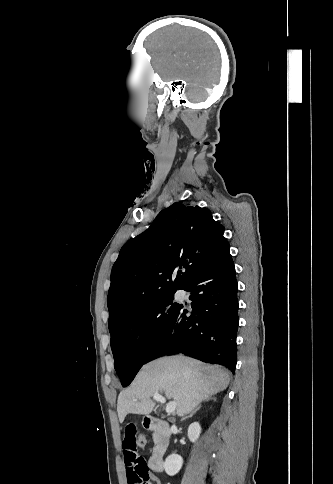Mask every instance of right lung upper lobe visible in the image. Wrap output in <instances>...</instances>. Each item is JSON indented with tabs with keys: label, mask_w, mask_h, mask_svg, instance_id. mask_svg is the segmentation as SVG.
Masks as SVG:
<instances>
[{
	"label": "right lung upper lobe",
	"mask_w": 333,
	"mask_h": 484,
	"mask_svg": "<svg viewBox=\"0 0 333 484\" xmlns=\"http://www.w3.org/2000/svg\"><path fill=\"white\" fill-rule=\"evenodd\" d=\"M210 211L174 203L129 240L111 271L109 326L162 295L183 289L228 245Z\"/></svg>",
	"instance_id": "cb5924a9"
}]
</instances>
